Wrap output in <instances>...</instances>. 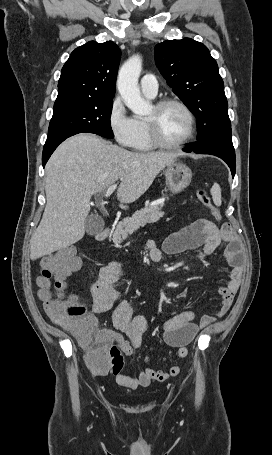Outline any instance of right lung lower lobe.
I'll use <instances>...</instances> for the list:
<instances>
[{"instance_id": "right-lung-lower-lobe-1", "label": "right lung lower lobe", "mask_w": 272, "mask_h": 455, "mask_svg": "<svg viewBox=\"0 0 272 455\" xmlns=\"http://www.w3.org/2000/svg\"><path fill=\"white\" fill-rule=\"evenodd\" d=\"M75 134H78V133H67V134L59 135V136L49 138L46 140V143H45L44 149H43V155H42L43 167L45 166L46 162L48 161L49 157L54 152V150L57 148V146L60 143H62L65 139H67L68 137H71Z\"/></svg>"}]
</instances>
